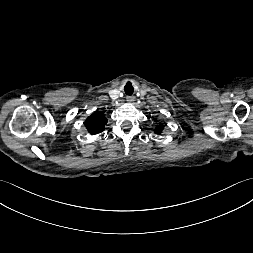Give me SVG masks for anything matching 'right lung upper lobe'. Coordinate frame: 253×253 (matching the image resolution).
<instances>
[{
  "instance_id": "obj_1",
  "label": "right lung upper lobe",
  "mask_w": 253,
  "mask_h": 253,
  "mask_svg": "<svg viewBox=\"0 0 253 253\" xmlns=\"http://www.w3.org/2000/svg\"><path fill=\"white\" fill-rule=\"evenodd\" d=\"M106 123L107 119L103 112L93 113L84 122L88 132L92 135L102 132Z\"/></svg>"
}]
</instances>
